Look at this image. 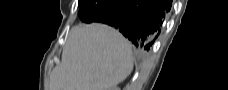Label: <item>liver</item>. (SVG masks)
<instances>
[{
	"mask_svg": "<svg viewBox=\"0 0 228 90\" xmlns=\"http://www.w3.org/2000/svg\"><path fill=\"white\" fill-rule=\"evenodd\" d=\"M133 69L132 46L118 31L90 24L71 29L50 90H110Z\"/></svg>",
	"mask_w": 228,
	"mask_h": 90,
	"instance_id": "6515ba94",
	"label": "liver"
}]
</instances>
